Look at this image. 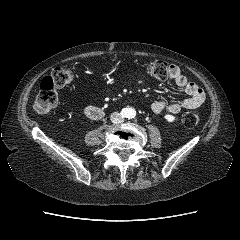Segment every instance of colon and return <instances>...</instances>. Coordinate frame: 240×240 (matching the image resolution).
<instances>
[{"label": "colon", "mask_w": 240, "mask_h": 240, "mask_svg": "<svg viewBox=\"0 0 240 240\" xmlns=\"http://www.w3.org/2000/svg\"><path fill=\"white\" fill-rule=\"evenodd\" d=\"M148 73L155 79L164 80L169 76V65L164 61H154L147 65ZM74 79V72L66 67L59 66L44 77L40 83L39 92L35 98L33 108L39 114L48 113L58 103L57 90L70 84ZM200 113L189 112L183 118L187 128L195 127L200 121Z\"/></svg>", "instance_id": "5ec220e1"}]
</instances>
